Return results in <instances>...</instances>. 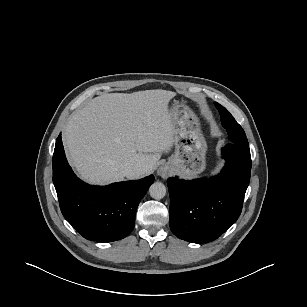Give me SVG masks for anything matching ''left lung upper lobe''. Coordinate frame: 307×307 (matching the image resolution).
Segmentation results:
<instances>
[{"mask_svg": "<svg viewBox=\"0 0 307 307\" xmlns=\"http://www.w3.org/2000/svg\"><path fill=\"white\" fill-rule=\"evenodd\" d=\"M215 106L219 110L222 125L227 130L231 143L237 144L245 149H249L248 140L242 127L223 106L217 102H215Z\"/></svg>", "mask_w": 307, "mask_h": 307, "instance_id": "obj_1", "label": "left lung upper lobe"}]
</instances>
